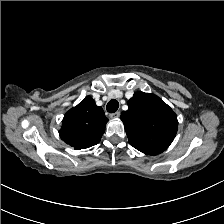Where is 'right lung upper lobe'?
Instances as JSON below:
<instances>
[{"label": "right lung upper lobe", "instance_id": "right-lung-upper-lobe-1", "mask_svg": "<svg viewBox=\"0 0 224 224\" xmlns=\"http://www.w3.org/2000/svg\"><path fill=\"white\" fill-rule=\"evenodd\" d=\"M107 122L103 109L87 96L65 114L59 135L75 149H85L99 143Z\"/></svg>", "mask_w": 224, "mask_h": 224}]
</instances>
